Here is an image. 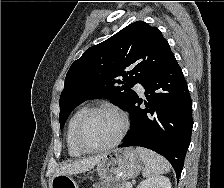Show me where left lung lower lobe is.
I'll use <instances>...</instances> for the list:
<instances>
[{
	"mask_svg": "<svg viewBox=\"0 0 224 188\" xmlns=\"http://www.w3.org/2000/svg\"><path fill=\"white\" fill-rule=\"evenodd\" d=\"M145 109L138 96L130 110L131 129L119 147L142 146L163 155L181 174L191 140L192 102L175 57L142 84Z\"/></svg>",
	"mask_w": 224,
	"mask_h": 188,
	"instance_id": "obj_1",
	"label": "left lung lower lobe"
}]
</instances>
